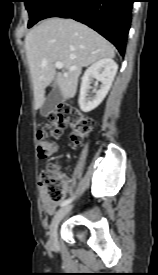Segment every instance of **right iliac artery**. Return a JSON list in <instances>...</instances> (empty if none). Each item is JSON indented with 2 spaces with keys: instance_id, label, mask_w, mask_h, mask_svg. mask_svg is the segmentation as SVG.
<instances>
[{
  "instance_id": "obj_1",
  "label": "right iliac artery",
  "mask_w": 158,
  "mask_h": 275,
  "mask_svg": "<svg viewBox=\"0 0 158 275\" xmlns=\"http://www.w3.org/2000/svg\"><path fill=\"white\" fill-rule=\"evenodd\" d=\"M73 199H74V197L71 198V199H67V200L62 201L60 206L64 207V206L68 205Z\"/></svg>"
}]
</instances>
